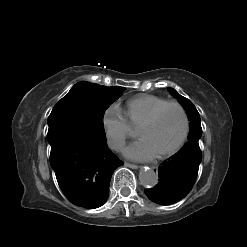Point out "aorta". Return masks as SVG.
I'll list each match as a JSON object with an SVG mask.
<instances>
[{
	"instance_id": "762f6f07",
	"label": "aorta",
	"mask_w": 247,
	"mask_h": 247,
	"mask_svg": "<svg viewBox=\"0 0 247 247\" xmlns=\"http://www.w3.org/2000/svg\"><path fill=\"white\" fill-rule=\"evenodd\" d=\"M139 180L145 187H154L158 183V176L152 169H143L139 173Z\"/></svg>"
}]
</instances>
